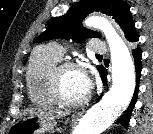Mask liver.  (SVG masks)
Returning a JSON list of instances; mask_svg holds the SVG:
<instances>
[{"label":"liver","instance_id":"liver-1","mask_svg":"<svg viewBox=\"0 0 153 134\" xmlns=\"http://www.w3.org/2000/svg\"><path fill=\"white\" fill-rule=\"evenodd\" d=\"M36 114L39 115L40 118L45 119L47 121H55V119L65 117L68 112L54 108H30L26 109L22 115L32 117Z\"/></svg>","mask_w":153,"mask_h":134}]
</instances>
